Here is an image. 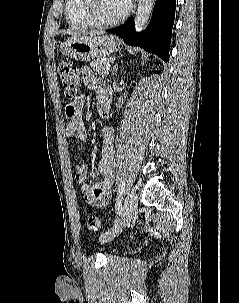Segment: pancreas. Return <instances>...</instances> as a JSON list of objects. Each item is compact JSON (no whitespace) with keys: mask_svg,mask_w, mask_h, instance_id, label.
<instances>
[{"mask_svg":"<svg viewBox=\"0 0 239 303\" xmlns=\"http://www.w3.org/2000/svg\"><path fill=\"white\" fill-rule=\"evenodd\" d=\"M108 58L95 59L90 63V67L101 75H107L109 70L106 65L109 63Z\"/></svg>","mask_w":239,"mask_h":303,"instance_id":"1","label":"pancreas"}]
</instances>
